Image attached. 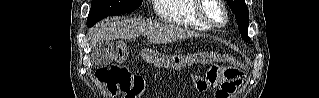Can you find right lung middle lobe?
<instances>
[{
  "label": "right lung middle lobe",
  "mask_w": 319,
  "mask_h": 98,
  "mask_svg": "<svg viewBox=\"0 0 319 98\" xmlns=\"http://www.w3.org/2000/svg\"><path fill=\"white\" fill-rule=\"evenodd\" d=\"M143 0H92L87 26L92 27L107 16L128 13L137 9Z\"/></svg>",
  "instance_id": "dd1d6c3e"
}]
</instances>
